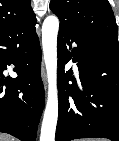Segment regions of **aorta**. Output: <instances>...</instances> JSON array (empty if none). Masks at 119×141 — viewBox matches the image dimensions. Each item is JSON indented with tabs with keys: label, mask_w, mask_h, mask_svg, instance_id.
<instances>
[{
	"label": "aorta",
	"mask_w": 119,
	"mask_h": 141,
	"mask_svg": "<svg viewBox=\"0 0 119 141\" xmlns=\"http://www.w3.org/2000/svg\"><path fill=\"white\" fill-rule=\"evenodd\" d=\"M59 20L48 16L42 26V45L48 78V99L44 112L40 141H54L58 119L57 35Z\"/></svg>",
	"instance_id": "obj_1"
}]
</instances>
